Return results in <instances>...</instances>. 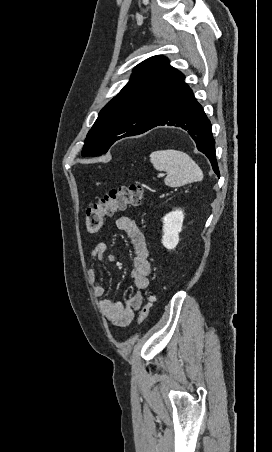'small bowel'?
<instances>
[{"label": "small bowel", "mask_w": 272, "mask_h": 452, "mask_svg": "<svg viewBox=\"0 0 272 452\" xmlns=\"http://www.w3.org/2000/svg\"><path fill=\"white\" fill-rule=\"evenodd\" d=\"M115 226L118 230L127 234L133 246L134 259L132 279L136 293L127 297L124 302L107 298L105 287L97 284V270L91 268L88 272V276L93 285L95 296L101 298L99 303L101 314L117 326H127L132 321L134 313L143 303L141 290H144L149 286L148 277L151 272V267L145 237L134 219L127 215H121L115 220ZM106 251V243L99 242L91 251V258L96 261H103Z\"/></svg>", "instance_id": "c3829d8e"}]
</instances>
